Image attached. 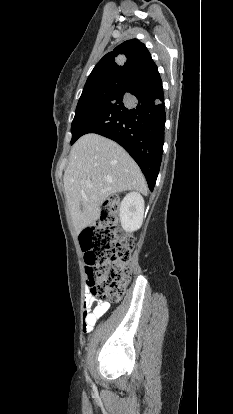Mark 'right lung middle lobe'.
I'll return each mask as SVG.
<instances>
[{
	"mask_svg": "<svg viewBox=\"0 0 233 414\" xmlns=\"http://www.w3.org/2000/svg\"><path fill=\"white\" fill-rule=\"evenodd\" d=\"M132 83L133 81L118 76H106L87 82L78 101L72 122L71 144L78 139V128L86 116L99 106L123 95Z\"/></svg>",
	"mask_w": 233,
	"mask_h": 414,
	"instance_id": "1",
	"label": "right lung middle lobe"
}]
</instances>
